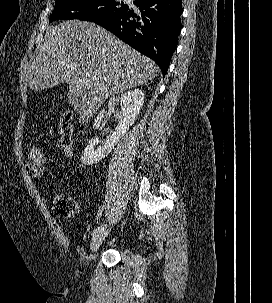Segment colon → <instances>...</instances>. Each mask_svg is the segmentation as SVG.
<instances>
[{
    "mask_svg": "<svg viewBox=\"0 0 272 303\" xmlns=\"http://www.w3.org/2000/svg\"><path fill=\"white\" fill-rule=\"evenodd\" d=\"M59 147L65 155H70L73 146V127L71 116L65 113L59 124ZM29 162L32 170L44 176L47 172V158L45 151L40 146H33L29 152ZM53 211L61 217H74L80 212L78 201L68 194H57L53 199Z\"/></svg>",
    "mask_w": 272,
    "mask_h": 303,
    "instance_id": "5ec220e1",
    "label": "colon"
}]
</instances>
